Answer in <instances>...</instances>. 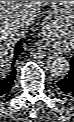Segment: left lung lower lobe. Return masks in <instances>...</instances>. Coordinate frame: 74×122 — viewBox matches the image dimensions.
<instances>
[{
  "label": "left lung lower lobe",
  "mask_w": 74,
  "mask_h": 122,
  "mask_svg": "<svg viewBox=\"0 0 74 122\" xmlns=\"http://www.w3.org/2000/svg\"><path fill=\"white\" fill-rule=\"evenodd\" d=\"M71 70L64 79L57 82V88L60 92L67 95H74V57L70 62Z\"/></svg>",
  "instance_id": "left-lung-lower-lobe-1"
}]
</instances>
